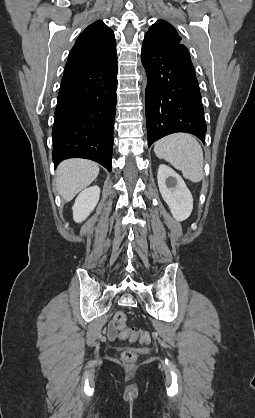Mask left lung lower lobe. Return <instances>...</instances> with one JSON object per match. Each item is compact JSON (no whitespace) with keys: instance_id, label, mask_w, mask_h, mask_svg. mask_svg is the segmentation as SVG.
Segmentation results:
<instances>
[{"instance_id":"1","label":"left lung lower lobe","mask_w":255,"mask_h":418,"mask_svg":"<svg viewBox=\"0 0 255 418\" xmlns=\"http://www.w3.org/2000/svg\"><path fill=\"white\" fill-rule=\"evenodd\" d=\"M141 60L148 78L145 92L148 146L176 132L204 141V120L196 74L185 46L157 49L142 44Z\"/></svg>"}]
</instances>
